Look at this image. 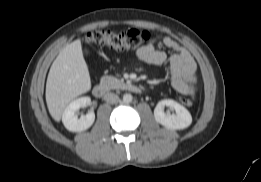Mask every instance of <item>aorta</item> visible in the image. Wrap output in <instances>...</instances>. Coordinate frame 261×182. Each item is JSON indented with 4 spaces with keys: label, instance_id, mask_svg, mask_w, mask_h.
Instances as JSON below:
<instances>
[{
    "label": "aorta",
    "instance_id": "aorta-1",
    "mask_svg": "<svg viewBox=\"0 0 261 182\" xmlns=\"http://www.w3.org/2000/svg\"><path fill=\"white\" fill-rule=\"evenodd\" d=\"M132 99H133V97H132L131 94H124L123 95V102L124 103H130V102H132Z\"/></svg>",
    "mask_w": 261,
    "mask_h": 182
}]
</instances>
